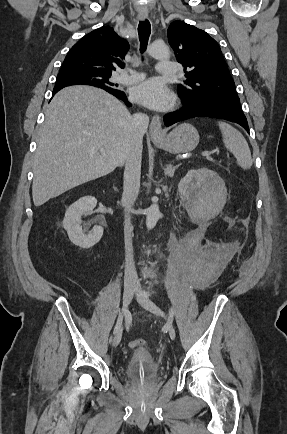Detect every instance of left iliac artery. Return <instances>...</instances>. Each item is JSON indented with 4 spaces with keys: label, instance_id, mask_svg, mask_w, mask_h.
<instances>
[{
    "label": "left iliac artery",
    "instance_id": "44dca946",
    "mask_svg": "<svg viewBox=\"0 0 287 434\" xmlns=\"http://www.w3.org/2000/svg\"><path fill=\"white\" fill-rule=\"evenodd\" d=\"M169 315H170V317H172L174 315V312L172 309L169 310Z\"/></svg>",
    "mask_w": 287,
    "mask_h": 434
}]
</instances>
